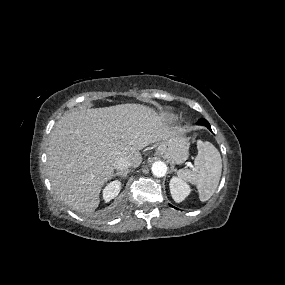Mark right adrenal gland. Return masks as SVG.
Returning a JSON list of instances; mask_svg holds the SVG:
<instances>
[{
  "mask_svg": "<svg viewBox=\"0 0 285 285\" xmlns=\"http://www.w3.org/2000/svg\"><path fill=\"white\" fill-rule=\"evenodd\" d=\"M128 173H129V170H128V169H127V170H124V171H119V172L113 174V177L121 176V177H124V178H125Z\"/></svg>",
  "mask_w": 285,
  "mask_h": 285,
  "instance_id": "obj_1",
  "label": "right adrenal gland"
}]
</instances>
